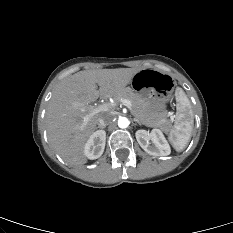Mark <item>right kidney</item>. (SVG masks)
<instances>
[{"mask_svg": "<svg viewBox=\"0 0 233 233\" xmlns=\"http://www.w3.org/2000/svg\"><path fill=\"white\" fill-rule=\"evenodd\" d=\"M106 133L103 130L94 132L84 146V154L88 159L99 158L105 149Z\"/></svg>", "mask_w": 233, "mask_h": 233, "instance_id": "ca27d5eb", "label": "right kidney"}]
</instances>
